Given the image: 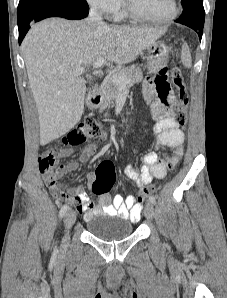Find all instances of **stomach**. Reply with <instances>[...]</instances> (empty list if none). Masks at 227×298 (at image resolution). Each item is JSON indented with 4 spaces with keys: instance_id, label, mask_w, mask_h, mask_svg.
<instances>
[{
    "instance_id": "stomach-1",
    "label": "stomach",
    "mask_w": 227,
    "mask_h": 298,
    "mask_svg": "<svg viewBox=\"0 0 227 298\" xmlns=\"http://www.w3.org/2000/svg\"><path fill=\"white\" fill-rule=\"evenodd\" d=\"M148 73H156L166 66L169 57V48L162 41H156L146 47Z\"/></svg>"
}]
</instances>
